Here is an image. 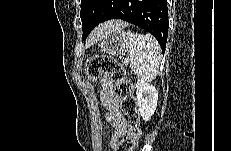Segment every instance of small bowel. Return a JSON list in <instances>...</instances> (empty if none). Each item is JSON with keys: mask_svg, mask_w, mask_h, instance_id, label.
I'll list each match as a JSON object with an SVG mask.
<instances>
[{"mask_svg": "<svg viewBox=\"0 0 231 151\" xmlns=\"http://www.w3.org/2000/svg\"><path fill=\"white\" fill-rule=\"evenodd\" d=\"M100 97L106 110L105 118L113 129L110 146L115 147L118 140L126 134L127 123L121 112L120 100L113 92V83L109 76H104L102 79Z\"/></svg>", "mask_w": 231, "mask_h": 151, "instance_id": "c3829d8e", "label": "small bowel"}]
</instances>
